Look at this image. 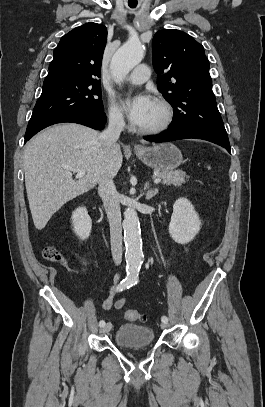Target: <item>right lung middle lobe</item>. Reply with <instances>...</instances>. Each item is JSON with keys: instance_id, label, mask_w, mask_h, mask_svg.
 I'll use <instances>...</instances> for the list:
<instances>
[{"instance_id": "right-lung-middle-lobe-1", "label": "right lung middle lobe", "mask_w": 265, "mask_h": 407, "mask_svg": "<svg viewBox=\"0 0 265 407\" xmlns=\"http://www.w3.org/2000/svg\"><path fill=\"white\" fill-rule=\"evenodd\" d=\"M82 110L103 111L101 86L98 80L46 78L27 129L61 115Z\"/></svg>"}]
</instances>
